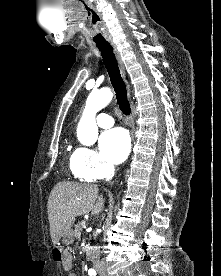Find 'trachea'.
<instances>
[{
    "label": "trachea",
    "mask_w": 221,
    "mask_h": 276,
    "mask_svg": "<svg viewBox=\"0 0 221 276\" xmlns=\"http://www.w3.org/2000/svg\"><path fill=\"white\" fill-rule=\"evenodd\" d=\"M96 46L101 52L103 62L109 73L110 81L116 94L117 104L119 105V108L123 114L129 115L131 108L127 99V91L119 71L115 54L113 53V48L107 41L96 42Z\"/></svg>",
    "instance_id": "3493384b"
}]
</instances>
